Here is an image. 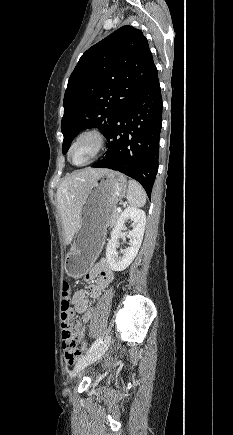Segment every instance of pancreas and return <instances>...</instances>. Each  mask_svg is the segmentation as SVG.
I'll use <instances>...</instances> for the list:
<instances>
[{
  "mask_svg": "<svg viewBox=\"0 0 233 435\" xmlns=\"http://www.w3.org/2000/svg\"><path fill=\"white\" fill-rule=\"evenodd\" d=\"M119 215H120V213L118 211L114 210V212H113V214L111 216V222L110 223L111 224L115 223L116 220L118 219Z\"/></svg>",
  "mask_w": 233,
  "mask_h": 435,
  "instance_id": "obj_1",
  "label": "pancreas"
}]
</instances>
